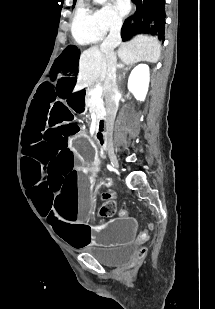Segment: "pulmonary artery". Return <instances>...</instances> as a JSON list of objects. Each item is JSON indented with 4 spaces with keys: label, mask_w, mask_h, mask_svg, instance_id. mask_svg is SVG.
Instances as JSON below:
<instances>
[{
    "label": "pulmonary artery",
    "mask_w": 215,
    "mask_h": 309,
    "mask_svg": "<svg viewBox=\"0 0 215 309\" xmlns=\"http://www.w3.org/2000/svg\"><path fill=\"white\" fill-rule=\"evenodd\" d=\"M81 6H84V3H81Z\"/></svg>",
    "instance_id": "pulmonary-artery-1"
}]
</instances>
